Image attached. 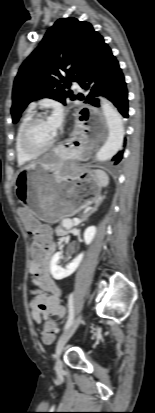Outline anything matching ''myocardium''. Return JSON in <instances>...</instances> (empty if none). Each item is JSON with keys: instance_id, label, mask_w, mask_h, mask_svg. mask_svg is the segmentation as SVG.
Segmentation results:
<instances>
[{"instance_id": "obj_1", "label": "myocardium", "mask_w": 155, "mask_h": 413, "mask_svg": "<svg viewBox=\"0 0 155 413\" xmlns=\"http://www.w3.org/2000/svg\"><path fill=\"white\" fill-rule=\"evenodd\" d=\"M44 120H46V116L39 114V115L31 117L29 121L25 124V126L23 127V130L21 133V145H22L24 152L29 156L37 157V156H40L48 152L54 147L57 141V136H56L49 144L41 148H37L31 144L30 134H31L33 127L38 122H41Z\"/></svg>"}]
</instances>
